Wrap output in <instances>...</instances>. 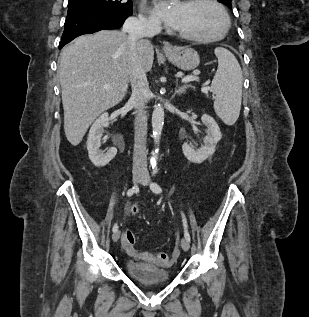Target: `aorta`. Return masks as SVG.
Wrapping results in <instances>:
<instances>
[{"mask_svg":"<svg viewBox=\"0 0 309 317\" xmlns=\"http://www.w3.org/2000/svg\"><path fill=\"white\" fill-rule=\"evenodd\" d=\"M173 1L176 2L177 0H173ZM163 124H164V109L161 105H157L155 106L153 114H152L153 138H154V143L156 146L151 158V164L153 166L157 164V160H158V152H159L158 146L160 143Z\"/></svg>","mask_w":309,"mask_h":317,"instance_id":"aorta-1","label":"aorta"}]
</instances>
